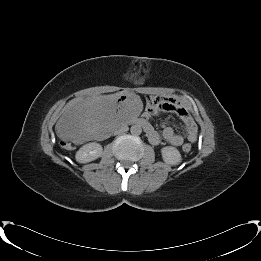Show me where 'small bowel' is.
I'll return each mask as SVG.
<instances>
[{"label": "small bowel", "mask_w": 261, "mask_h": 261, "mask_svg": "<svg viewBox=\"0 0 261 261\" xmlns=\"http://www.w3.org/2000/svg\"><path fill=\"white\" fill-rule=\"evenodd\" d=\"M149 104L151 113L157 114L158 112H167L177 115L185 125V134L177 133L172 127L168 126L163 129L161 134L156 130L148 134L149 140L152 144H158L161 137L173 146H180L184 143L185 139L193 143L197 140L198 128L192 115L184 104L170 97L159 95H152L149 97Z\"/></svg>", "instance_id": "obj_1"}]
</instances>
